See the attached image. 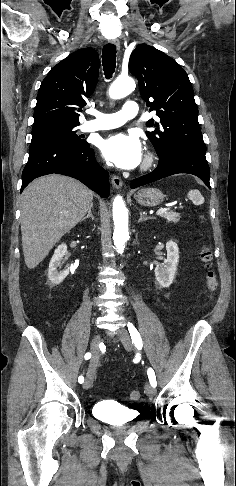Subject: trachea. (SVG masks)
<instances>
[{"label": "trachea", "instance_id": "obj_1", "mask_svg": "<svg viewBox=\"0 0 236 486\" xmlns=\"http://www.w3.org/2000/svg\"><path fill=\"white\" fill-rule=\"evenodd\" d=\"M103 69L106 78H111L116 68V46L106 44L102 50Z\"/></svg>", "mask_w": 236, "mask_h": 486}]
</instances>
